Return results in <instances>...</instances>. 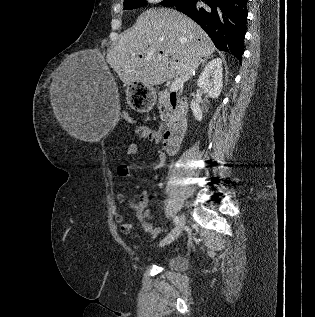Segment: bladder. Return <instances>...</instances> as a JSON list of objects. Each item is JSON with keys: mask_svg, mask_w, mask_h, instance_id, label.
<instances>
[{"mask_svg": "<svg viewBox=\"0 0 315 317\" xmlns=\"http://www.w3.org/2000/svg\"><path fill=\"white\" fill-rule=\"evenodd\" d=\"M166 265L173 270L182 271L186 268L187 261L183 256L177 255L168 258Z\"/></svg>", "mask_w": 315, "mask_h": 317, "instance_id": "31cf9c89", "label": "bladder"}]
</instances>
